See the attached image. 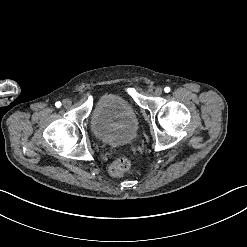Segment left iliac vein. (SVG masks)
I'll return each mask as SVG.
<instances>
[{
  "instance_id": "left-iliac-vein-1",
  "label": "left iliac vein",
  "mask_w": 247,
  "mask_h": 247,
  "mask_svg": "<svg viewBox=\"0 0 247 247\" xmlns=\"http://www.w3.org/2000/svg\"><path fill=\"white\" fill-rule=\"evenodd\" d=\"M162 92H163L162 88L158 87L155 89L154 94L156 96H160L162 94Z\"/></svg>"
}]
</instances>
